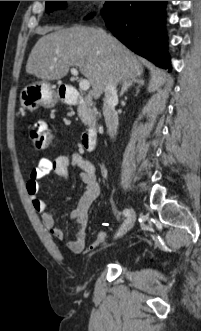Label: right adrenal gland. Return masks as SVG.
I'll use <instances>...</instances> for the list:
<instances>
[{"label": "right adrenal gland", "mask_w": 201, "mask_h": 331, "mask_svg": "<svg viewBox=\"0 0 201 331\" xmlns=\"http://www.w3.org/2000/svg\"><path fill=\"white\" fill-rule=\"evenodd\" d=\"M134 84H137L138 87L144 85V81L141 78L124 81L120 91V97L123 96Z\"/></svg>", "instance_id": "right-adrenal-gland-1"}]
</instances>
